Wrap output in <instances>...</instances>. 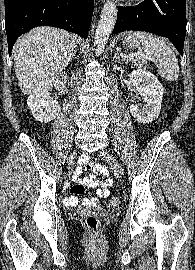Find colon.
<instances>
[{
	"label": "colon",
	"mask_w": 195,
	"mask_h": 270,
	"mask_svg": "<svg viewBox=\"0 0 195 270\" xmlns=\"http://www.w3.org/2000/svg\"><path fill=\"white\" fill-rule=\"evenodd\" d=\"M118 203V198L113 197L110 199L109 204L115 206ZM86 227L91 234H96L100 227V222L97 216L88 215L85 220Z\"/></svg>",
	"instance_id": "colon-1"
}]
</instances>
